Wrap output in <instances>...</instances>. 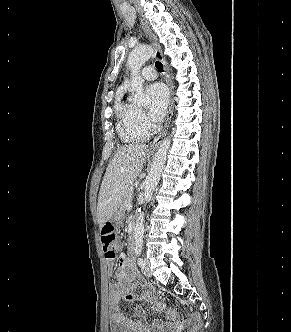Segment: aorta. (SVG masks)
Returning a JSON list of instances; mask_svg holds the SVG:
<instances>
[{
	"label": "aorta",
	"instance_id": "762f6f07",
	"mask_svg": "<svg viewBox=\"0 0 291 332\" xmlns=\"http://www.w3.org/2000/svg\"><path fill=\"white\" fill-rule=\"evenodd\" d=\"M154 54L150 45H143L131 51L128 57L127 65L131 71V78L127 85L130 92V101L135 104L148 105L149 98L145 95L143 89V79L140 76V69L144 63ZM171 138L166 137L161 143L155 154L151 169L144 182V205L150 202L153 192L158 185L163 168L165 166L167 153L170 148ZM144 235V212H140L134 229L135 252L141 253Z\"/></svg>",
	"mask_w": 291,
	"mask_h": 332
}]
</instances>
